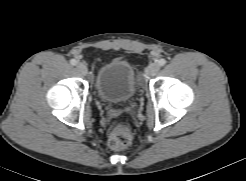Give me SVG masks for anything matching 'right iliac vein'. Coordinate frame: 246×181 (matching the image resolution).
<instances>
[{
	"label": "right iliac vein",
	"mask_w": 246,
	"mask_h": 181,
	"mask_svg": "<svg viewBox=\"0 0 246 181\" xmlns=\"http://www.w3.org/2000/svg\"><path fill=\"white\" fill-rule=\"evenodd\" d=\"M76 68L81 74H83V75L87 74L88 70H87V67L84 63H78Z\"/></svg>",
	"instance_id": "1"
}]
</instances>
